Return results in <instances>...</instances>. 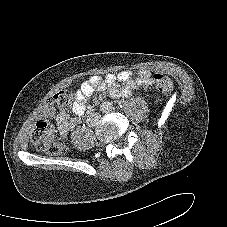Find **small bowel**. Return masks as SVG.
<instances>
[{"label":"small bowel","mask_w":227,"mask_h":227,"mask_svg":"<svg viewBox=\"0 0 227 227\" xmlns=\"http://www.w3.org/2000/svg\"><path fill=\"white\" fill-rule=\"evenodd\" d=\"M153 82L152 74L149 70L142 69L137 77H133L129 70H122L117 74H107L105 77L93 75L83 81L75 92L72 112L75 118L70 119L66 112H61L56 116L55 123L62 138H66L73 128L80 122V117L86 111V101L97 90H105L110 97L116 98L120 95L129 96L140 89H146ZM117 83H125L123 89L117 88Z\"/></svg>","instance_id":"small-bowel-1"}]
</instances>
